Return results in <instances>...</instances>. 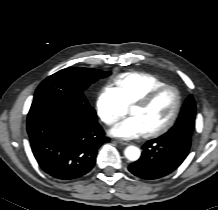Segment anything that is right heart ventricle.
Wrapping results in <instances>:
<instances>
[{
    "mask_svg": "<svg viewBox=\"0 0 218 210\" xmlns=\"http://www.w3.org/2000/svg\"><path fill=\"white\" fill-rule=\"evenodd\" d=\"M157 76L145 72H126L116 76L111 87L120 95L123 102L130 106L151 90L164 85Z\"/></svg>",
    "mask_w": 218,
    "mask_h": 210,
    "instance_id": "obj_1",
    "label": "right heart ventricle"
}]
</instances>
